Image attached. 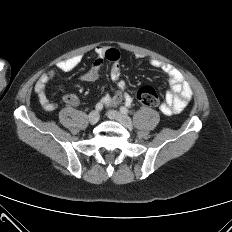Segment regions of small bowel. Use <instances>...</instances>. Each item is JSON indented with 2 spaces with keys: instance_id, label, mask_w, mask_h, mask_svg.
<instances>
[{
  "instance_id": "c3829d8e",
  "label": "small bowel",
  "mask_w": 232,
  "mask_h": 232,
  "mask_svg": "<svg viewBox=\"0 0 232 232\" xmlns=\"http://www.w3.org/2000/svg\"><path fill=\"white\" fill-rule=\"evenodd\" d=\"M96 57L91 67L80 75V80L84 82H96L103 70L105 61L112 65L110 68V78L116 83V90L112 94H105L102 97V103L107 106H116L121 102L131 105L132 97L125 92L126 83L121 79V68L119 65L120 54L114 48L98 46L95 49ZM82 57L80 55L72 56L56 64L55 69L43 73L35 85V93L41 106L46 111H52L56 105L46 94V85L56 75L57 71L69 72L80 65ZM149 65L162 71L168 77L170 90L165 94L164 101L159 109L165 115L180 113L187 106L192 98V89L183 75L172 65L160 59L151 58ZM63 101L70 107L78 105L79 100L75 94H67Z\"/></svg>"
}]
</instances>
